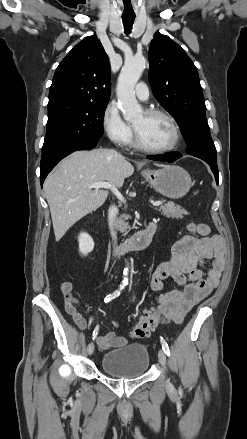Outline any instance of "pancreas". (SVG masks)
Masks as SVG:
<instances>
[{"instance_id":"cf45deb5","label":"pancreas","mask_w":247,"mask_h":439,"mask_svg":"<svg viewBox=\"0 0 247 439\" xmlns=\"http://www.w3.org/2000/svg\"><path fill=\"white\" fill-rule=\"evenodd\" d=\"M158 211L161 212L162 215L173 218V219H182L184 215H188L189 213L181 208V206L175 205L173 202H168L165 205H162ZM129 219L128 215H122L121 220L119 221V229L121 232L127 233V229H130L127 223L124 220Z\"/></svg>"}]
</instances>
